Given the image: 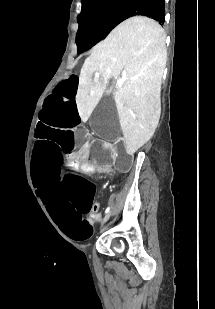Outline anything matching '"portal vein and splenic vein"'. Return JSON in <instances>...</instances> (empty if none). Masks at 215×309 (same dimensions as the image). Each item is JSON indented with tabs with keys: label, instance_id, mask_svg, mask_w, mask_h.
<instances>
[{
	"label": "portal vein and splenic vein",
	"instance_id": "18ae733b",
	"mask_svg": "<svg viewBox=\"0 0 215 309\" xmlns=\"http://www.w3.org/2000/svg\"><path fill=\"white\" fill-rule=\"evenodd\" d=\"M99 74L100 72H96V76H99ZM125 80H126V76H122V78H118L117 86H123Z\"/></svg>",
	"mask_w": 215,
	"mask_h": 309
}]
</instances>
